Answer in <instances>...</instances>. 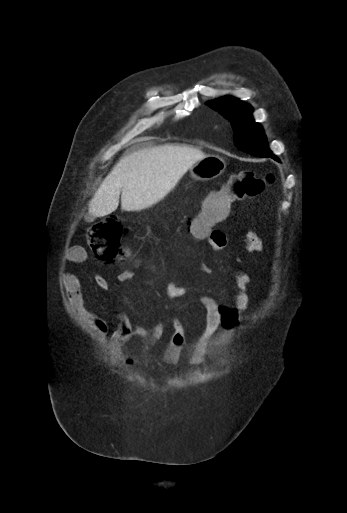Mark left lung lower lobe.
Returning <instances> with one entry per match:
<instances>
[{"mask_svg": "<svg viewBox=\"0 0 347 513\" xmlns=\"http://www.w3.org/2000/svg\"><path fill=\"white\" fill-rule=\"evenodd\" d=\"M270 157L273 158L276 161H279V159L276 156H274V155H270Z\"/></svg>", "mask_w": 347, "mask_h": 513, "instance_id": "1", "label": "left lung lower lobe"}]
</instances>
